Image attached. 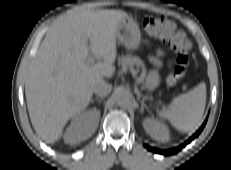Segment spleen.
<instances>
[{"mask_svg": "<svg viewBox=\"0 0 231 170\" xmlns=\"http://www.w3.org/2000/svg\"><path fill=\"white\" fill-rule=\"evenodd\" d=\"M205 104L206 86L201 83L190 92L175 98L169 108L160 111L159 115L180 131H193L202 122Z\"/></svg>", "mask_w": 231, "mask_h": 170, "instance_id": "3e777b00", "label": "spleen"}]
</instances>
